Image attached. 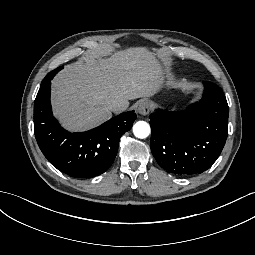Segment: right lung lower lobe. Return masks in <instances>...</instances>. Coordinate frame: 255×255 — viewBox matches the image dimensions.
Returning a JSON list of instances; mask_svg holds the SVG:
<instances>
[{
    "instance_id": "1",
    "label": "right lung lower lobe",
    "mask_w": 255,
    "mask_h": 255,
    "mask_svg": "<svg viewBox=\"0 0 255 255\" xmlns=\"http://www.w3.org/2000/svg\"><path fill=\"white\" fill-rule=\"evenodd\" d=\"M51 80L42 83L34 102V131L37 143L47 160L72 177H94L113 163L120 137L136 119L133 111L110 119L83 133L64 130L52 115Z\"/></svg>"
}]
</instances>
